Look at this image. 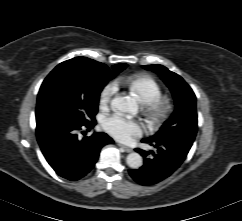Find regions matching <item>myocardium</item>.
Listing matches in <instances>:
<instances>
[{"instance_id":"1","label":"myocardium","mask_w":242,"mask_h":221,"mask_svg":"<svg viewBox=\"0 0 242 221\" xmlns=\"http://www.w3.org/2000/svg\"><path fill=\"white\" fill-rule=\"evenodd\" d=\"M145 111L152 123L162 124L172 115L173 106L168 100L159 98L148 103Z\"/></svg>"}]
</instances>
